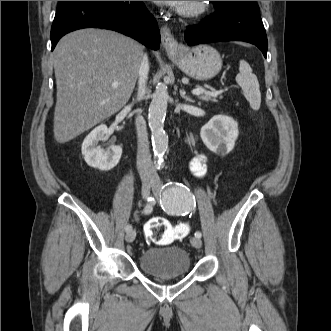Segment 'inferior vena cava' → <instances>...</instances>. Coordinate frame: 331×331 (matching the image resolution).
<instances>
[{
	"mask_svg": "<svg viewBox=\"0 0 331 331\" xmlns=\"http://www.w3.org/2000/svg\"><path fill=\"white\" fill-rule=\"evenodd\" d=\"M149 71L148 57L145 54L142 58L139 69V87L137 99L140 100L145 95V84L147 81ZM136 130H137V168L141 177H156V172L151 161L149 151V141L146 129V122L140 115L136 117Z\"/></svg>",
	"mask_w": 331,
	"mask_h": 331,
	"instance_id": "1",
	"label": "inferior vena cava"
}]
</instances>
